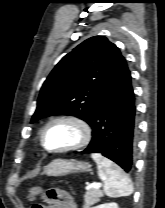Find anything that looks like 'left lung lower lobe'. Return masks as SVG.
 <instances>
[{
  "label": "left lung lower lobe",
  "instance_id": "0a47b994",
  "mask_svg": "<svg viewBox=\"0 0 165 208\" xmlns=\"http://www.w3.org/2000/svg\"><path fill=\"white\" fill-rule=\"evenodd\" d=\"M92 140L83 153H101L131 172L136 150L135 96L127 64L96 108L90 123Z\"/></svg>",
  "mask_w": 165,
  "mask_h": 208
}]
</instances>
